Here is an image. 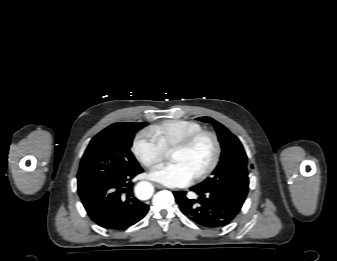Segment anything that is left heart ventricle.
Segmentation results:
<instances>
[{"label": "left heart ventricle", "instance_id": "1", "mask_svg": "<svg viewBox=\"0 0 337 261\" xmlns=\"http://www.w3.org/2000/svg\"><path fill=\"white\" fill-rule=\"evenodd\" d=\"M213 155L214 143L210 137L205 136L188 150L174 151L171 155V160L183 163L195 176L209 166Z\"/></svg>", "mask_w": 337, "mask_h": 261}]
</instances>
